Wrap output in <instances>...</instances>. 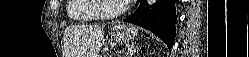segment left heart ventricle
Wrapping results in <instances>:
<instances>
[{"label":"left heart ventricle","instance_id":"1","mask_svg":"<svg viewBox=\"0 0 249 57\" xmlns=\"http://www.w3.org/2000/svg\"><path fill=\"white\" fill-rule=\"evenodd\" d=\"M120 0H102V8L104 12L113 13L116 12L122 5Z\"/></svg>","mask_w":249,"mask_h":57}]
</instances>
